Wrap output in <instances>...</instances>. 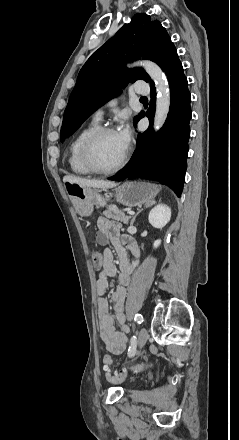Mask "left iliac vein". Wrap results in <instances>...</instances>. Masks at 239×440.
Instances as JSON below:
<instances>
[{"label":"left iliac vein","instance_id":"obj_1","mask_svg":"<svg viewBox=\"0 0 239 440\" xmlns=\"http://www.w3.org/2000/svg\"><path fill=\"white\" fill-rule=\"evenodd\" d=\"M147 339H148V332L145 328H142L139 332V335H138L139 348H142L146 344Z\"/></svg>","mask_w":239,"mask_h":440}]
</instances>
